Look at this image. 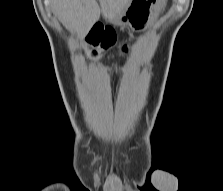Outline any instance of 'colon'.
Here are the masks:
<instances>
[{
    "label": "colon",
    "mask_w": 223,
    "mask_h": 191,
    "mask_svg": "<svg viewBox=\"0 0 223 191\" xmlns=\"http://www.w3.org/2000/svg\"><path fill=\"white\" fill-rule=\"evenodd\" d=\"M114 32L110 28H105L103 32L98 29H94L88 36V39L91 42L98 43L100 40L102 41V46L107 47L114 42Z\"/></svg>",
    "instance_id": "obj_1"
}]
</instances>
